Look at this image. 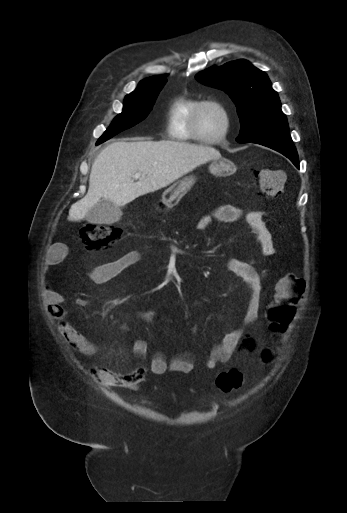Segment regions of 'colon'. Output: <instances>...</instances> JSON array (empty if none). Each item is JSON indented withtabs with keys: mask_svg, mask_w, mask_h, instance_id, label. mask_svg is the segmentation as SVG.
<instances>
[{
	"mask_svg": "<svg viewBox=\"0 0 347 513\" xmlns=\"http://www.w3.org/2000/svg\"><path fill=\"white\" fill-rule=\"evenodd\" d=\"M251 180L262 198H278L284 188L285 179L280 170L262 169L251 172ZM122 235V229L116 225L85 223L80 229L82 241L91 249L108 248L114 245ZM305 280L292 273L283 276L276 284L274 299L267 310V319L272 331L278 335L286 332L297 307L305 293ZM262 361H273L277 349L271 342L262 344L258 349ZM243 376L238 370L220 373L216 386L222 392H230L241 387Z\"/></svg>",
	"mask_w": 347,
	"mask_h": 513,
	"instance_id": "1",
	"label": "colon"
}]
</instances>
